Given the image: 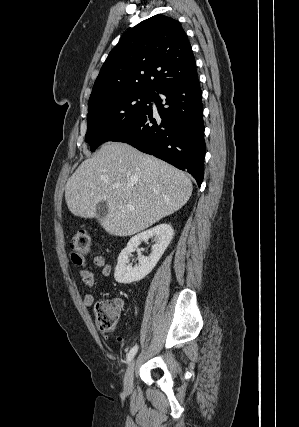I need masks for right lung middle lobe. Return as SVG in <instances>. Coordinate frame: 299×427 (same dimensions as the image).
<instances>
[{
    "mask_svg": "<svg viewBox=\"0 0 299 427\" xmlns=\"http://www.w3.org/2000/svg\"><path fill=\"white\" fill-rule=\"evenodd\" d=\"M154 93L124 92L103 98L89 105L86 142L94 151L137 122L149 109Z\"/></svg>",
    "mask_w": 299,
    "mask_h": 427,
    "instance_id": "1",
    "label": "right lung middle lobe"
}]
</instances>
